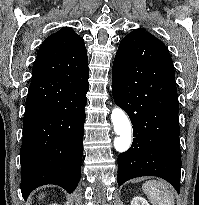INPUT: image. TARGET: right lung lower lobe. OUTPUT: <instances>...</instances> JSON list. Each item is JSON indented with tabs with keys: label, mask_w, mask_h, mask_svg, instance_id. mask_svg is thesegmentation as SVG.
<instances>
[{
	"label": "right lung lower lobe",
	"mask_w": 199,
	"mask_h": 205,
	"mask_svg": "<svg viewBox=\"0 0 199 205\" xmlns=\"http://www.w3.org/2000/svg\"><path fill=\"white\" fill-rule=\"evenodd\" d=\"M89 74L66 78L61 92L46 93L47 82H31L20 150L25 200L39 186L54 184L71 193L81 176L83 130ZM28 104V105H27Z\"/></svg>",
	"instance_id": "obj_1"
}]
</instances>
